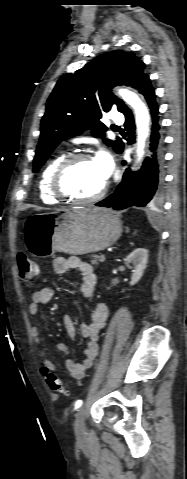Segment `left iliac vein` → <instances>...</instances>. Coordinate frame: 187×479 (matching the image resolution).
I'll return each mask as SVG.
<instances>
[{
    "label": "left iliac vein",
    "instance_id": "obj_1",
    "mask_svg": "<svg viewBox=\"0 0 187 479\" xmlns=\"http://www.w3.org/2000/svg\"><path fill=\"white\" fill-rule=\"evenodd\" d=\"M85 417L86 411L84 407H81L75 416L74 429L77 438H81L85 431Z\"/></svg>",
    "mask_w": 187,
    "mask_h": 479
}]
</instances>
